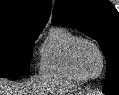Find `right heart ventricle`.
<instances>
[{"label": "right heart ventricle", "mask_w": 119, "mask_h": 95, "mask_svg": "<svg viewBox=\"0 0 119 95\" xmlns=\"http://www.w3.org/2000/svg\"><path fill=\"white\" fill-rule=\"evenodd\" d=\"M81 37L63 26L51 28L40 49L39 71L42 75L73 82H84L74 69L71 52Z\"/></svg>", "instance_id": "e07e8e85"}]
</instances>
